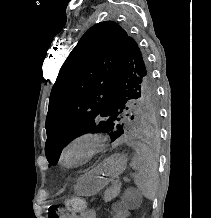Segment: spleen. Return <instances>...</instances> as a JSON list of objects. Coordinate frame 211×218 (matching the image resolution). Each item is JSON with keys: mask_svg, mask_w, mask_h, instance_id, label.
Listing matches in <instances>:
<instances>
[{"mask_svg": "<svg viewBox=\"0 0 211 218\" xmlns=\"http://www.w3.org/2000/svg\"><path fill=\"white\" fill-rule=\"evenodd\" d=\"M130 166L137 172L134 182L138 190L148 200H154L158 190L159 176L157 162H155L151 150H136Z\"/></svg>", "mask_w": 211, "mask_h": 218, "instance_id": "1", "label": "spleen"}]
</instances>
